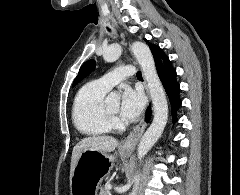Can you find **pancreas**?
Returning <instances> with one entry per match:
<instances>
[{
  "label": "pancreas",
  "instance_id": "pancreas-1",
  "mask_svg": "<svg viewBox=\"0 0 240 195\" xmlns=\"http://www.w3.org/2000/svg\"><path fill=\"white\" fill-rule=\"evenodd\" d=\"M99 195H109L108 189H107V183H104L103 187H100Z\"/></svg>",
  "mask_w": 240,
  "mask_h": 195
}]
</instances>
